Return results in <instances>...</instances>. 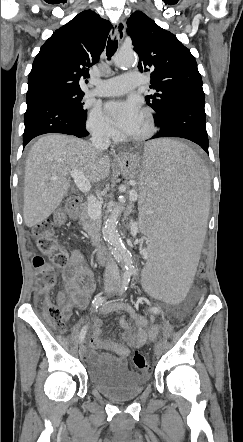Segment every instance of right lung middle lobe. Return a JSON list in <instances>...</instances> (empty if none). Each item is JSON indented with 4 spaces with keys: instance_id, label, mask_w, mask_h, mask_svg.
<instances>
[{
    "instance_id": "1",
    "label": "right lung middle lobe",
    "mask_w": 243,
    "mask_h": 442,
    "mask_svg": "<svg viewBox=\"0 0 243 442\" xmlns=\"http://www.w3.org/2000/svg\"><path fill=\"white\" fill-rule=\"evenodd\" d=\"M47 93H53L62 97L72 105L73 109L79 117H81L82 119H86L87 111L83 109L84 103L81 102L84 95L83 92L54 89L48 91Z\"/></svg>"
}]
</instances>
